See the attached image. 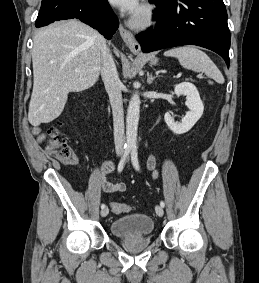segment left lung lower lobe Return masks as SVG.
Segmentation results:
<instances>
[{"instance_id": "0a47b994", "label": "left lung lower lobe", "mask_w": 259, "mask_h": 283, "mask_svg": "<svg viewBox=\"0 0 259 283\" xmlns=\"http://www.w3.org/2000/svg\"><path fill=\"white\" fill-rule=\"evenodd\" d=\"M156 4L158 22L136 38L144 53L197 45L219 54L229 67L230 31L223 0H149Z\"/></svg>"}]
</instances>
